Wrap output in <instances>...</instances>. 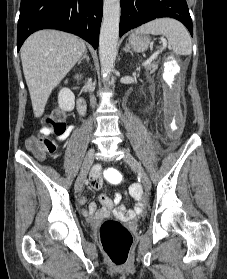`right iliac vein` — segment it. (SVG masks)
Masks as SVG:
<instances>
[{
  "instance_id": "right-iliac-vein-1",
  "label": "right iliac vein",
  "mask_w": 227,
  "mask_h": 279,
  "mask_svg": "<svg viewBox=\"0 0 227 279\" xmlns=\"http://www.w3.org/2000/svg\"><path fill=\"white\" fill-rule=\"evenodd\" d=\"M94 152H95L94 149H90L84 158L80 174H79L78 178L76 179V182L74 185V190L77 193L80 192L83 187L85 177L93 162Z\"/></svg>"
}]
</instances>
